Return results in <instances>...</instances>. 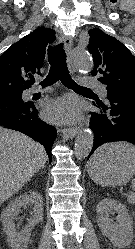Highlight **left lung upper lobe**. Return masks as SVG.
Listing matches in <instances>:
<instances>
[{
  "label": "left lung upper lobe",
  "mask_w": 135,
  "mask_h": 249,
  "mask_svg": "<svg viewBox=\"0 0 135 249\" xmlns=\"http://www.w3.org/2000/svg\"><path fill=\"white\" fill-rule=\"evenodd\" d=\"M88 33V50L94 59L91 74L106 85L107 96L135 99V57L123 43L100 29Z\"/></svg>",
  "instance_id": "1"
}]
</instances>
